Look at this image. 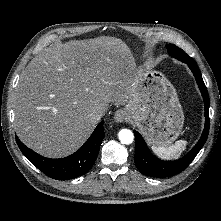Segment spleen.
<instances>
[{"label": "spleen", "mask_w": 221, "mask_h": 221, "mask_svg": "<svg viewBox=\"0 0 221 221\" xmlns=\"http://www.w3.org/2000/svg\"><path fill=\"white\" fill-rule=\"evenodd\" d=\"M187 141L178 140L174 144L166 146H152V151L160 158L169 160L178 158L180 153L186 149Z\"/></svg>", "instance_id": "1"}]
</instances>
